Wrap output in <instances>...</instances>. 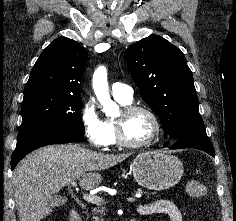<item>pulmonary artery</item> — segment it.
Instances as JSON below:
<instances>
[{
    "label": "pulmonary artery",
    "mask_w": 236,
    "mask_h": 221,
    "mask_svg": "<svg viewBox=\"0 0 236 221\" xmlns=\"http://www.w3.org/2000/svg\"><path fill=\"white\" fill-rule=\"evenodd\" d=\"M112 95L115 99L131 102L133 99V89L127 84L116 82L112 85Z\"/></svg>",
    "instance_id": "e3ab8cb5"
}]
</instances>
